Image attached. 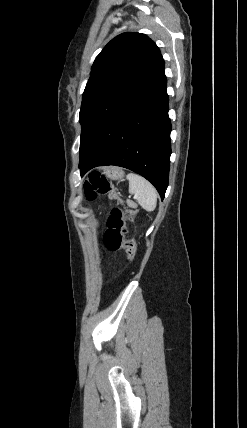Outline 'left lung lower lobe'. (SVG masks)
Wrapping results in <instances>:
<instances>
[{"label": "left lung lower lobe", "mask_w": 247, "mask_h": 428, "mask_svg": "<svg viewBox=\"0 0 247 428\" xmlns=\"http://www.w3.org/2000/svg\"><path fill=\"white\" fill-rule=\"evenodd\" d=\"M166 83L163 69L148 86L119 107L79 163L81 176L96 166H121L150 181L163 200L171 154Z\"/></svg>", "instance_id": "1"}]
</instances>
